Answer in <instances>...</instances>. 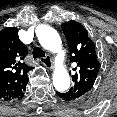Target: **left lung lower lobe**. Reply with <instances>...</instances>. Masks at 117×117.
<instances>
[{
	"label": "left lung lower lobe",
	"instance_id": "1",
	"mask_svg": "<svg viewBox=\"0 0 117 117\" xmlns=\"http://www.w3.org/2000/svg\"><path fill=\"white\" fill-rule=\"evenodd\" d=\"M57 95L62 98L63 100H66V101H69V97L67 95V93H60V92H57Z\"/></svg>",
	"mask_w": 117,
	"mask_h": 117
}]
</instances>
